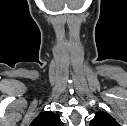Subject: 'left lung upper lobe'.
Listing matches in <instances>:
<instances>
[{
  "label": "left lung upper lobe",
  "instance_id": "obj_1",
  "mask_svg": "<svg viewBox=\"0 0 127 126\" xmlns=\"http://www.w3.org/2000/svg\"><path fill=\"white\" fill-rule=\"evenodd\" d=\"M90 126H120L117 121L108 113L99 111L90 121Z\"/></svg>",
  "mask_w": 127,
  "mask_h": 126
}]
</instances>
